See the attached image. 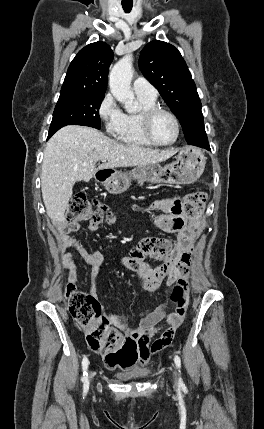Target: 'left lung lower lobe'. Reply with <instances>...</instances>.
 <instances>
[{
  "instance_id": "left-lung-lower-lobe-1",
  "label": "left lung lower lobe",
  "mask_w": 264,
  "mask_h": 429,
  "mask_svg": "<svg viewBox=\"0 0 264 429\" xmlns=\"http://www.w3.org/2000/svg\"><path fill=\"white\" fill-rule=\"evenodd\" d=\"M199 147H202V148H205V149H207V150H210V146H209V144H202L201 146H199Z\"/></svg>"
}]
</instances>
